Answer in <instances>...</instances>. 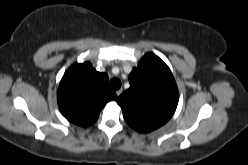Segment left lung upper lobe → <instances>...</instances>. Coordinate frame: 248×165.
Segmentation results:
<instances>
[{
	"mask_svg": "<svg viewBox=\"0 0 248 165\" xmlns=\"http://www.w3.org/2000/svg\"><path fill=\"white\" fill-rule=\"evenodd\" d=\"M130 88L117 100L125 121L144 133L165 124L178 104V89L169 67L147 53L129 75Z\"/></svg>",
	"mask_w": 248,
	"mask_h": 165,
	"instance_id": "1",
	"label": "left lung upper lobe"
}]
</instances>
